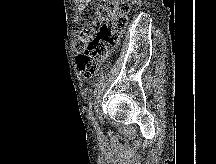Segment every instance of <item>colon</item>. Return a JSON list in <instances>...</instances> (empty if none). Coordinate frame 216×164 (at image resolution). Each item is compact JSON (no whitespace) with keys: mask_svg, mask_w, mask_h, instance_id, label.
I'll list each match as a JSON object with an SVG mask.
<instances>
[{"mask_svg":"<svg viewBox=\"0 0 216 164\" xmlns=\"http://www.w3.org/2000/svg\"><path fill=\"white\" fill-rule=\"evenodd\" d=\"M129 0H104L89 17L75 39L80 52L77 64L86 79L93 78L108 55L107 46L115 45L126 28L130 13Z\"/></svg>","mask_w":216,"mask_h":164,"instance_id":"colon-1","label":"colon"}]
</instances>
